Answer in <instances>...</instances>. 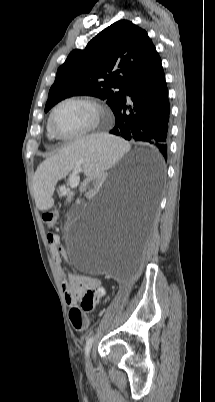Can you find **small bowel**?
Returning <instances> with one entry per match:
<instances>
[{"instance_id": "small-bowel-1", "label": "small bowel", "mask_w": 215, "mask_h": 402, "mask_svg": "<svg viewBox=\"0 0 215 402\" xmlns=\"http://www.w3.org/2000/svg\"><path fill=\"white\" fill-rule=\"evenodd\" d=\"M47 241L51 254L56 262L61 284L64 290L65 301L69 306H76L87 293L92 295L93 308L106 295V290L102 281L96 277H85L76 274H70L66 277L60 267L62 257L65 255V249L61 243L60 236L54 232H48Z\"/></svg>"}]
</instances>
